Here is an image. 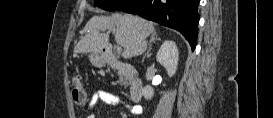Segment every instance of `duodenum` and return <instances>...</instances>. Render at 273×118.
Listing matches in <instances>:
<instances>
[{"mask_svg": "<svg viewBox=\"0 0 273 118\" xmlns=\"http://www.w3.org/2000/svg\"><path fill=\"white\" fill-rule=\"evenodd\" d=\"M105 62L112 68L116 69L121 75L129 79V95L133 101H139L142 98L144 91V84L141 79L137 77L135 68L131 64L123 63L115 59L109 51L104 54Z\"/></svg>", "mask_w": 273, "mask_h": 118, "instance_id": "duodenum-1", "label": "duodenum"}]
</instances>
